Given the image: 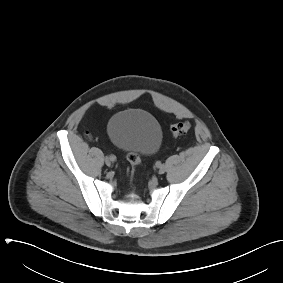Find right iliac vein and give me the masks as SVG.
<instances>
[{
  "label": "right iliac vein",
  "instance_id": "63e3f726",
  "mask_svg": "<svg viewBox=\"0 0 283 283\" xmlns=\"http://www.w3.org/2000/svg\"><path fill=\"white\" fill-rule=\"evenodd\" d=\"M112 162L113 161L110 159V157L105 158V163H106L107 166H110Z\"/></svg>",
  "mask_w": 283,
  "mask_h": 283
}]
</instances>
